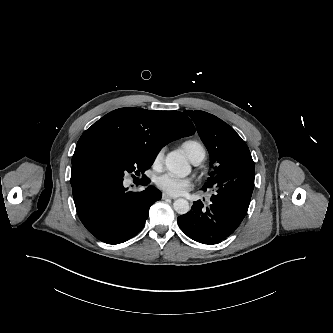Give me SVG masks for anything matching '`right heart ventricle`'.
Returning <instances> with one entry per match:
<instances>
[{
	"label": "right heart ventricle",
	"instance_id": "right-heart-ventricle-1",
	"mask_svg": "<svg viewBox=\"0 0 333 333\" xmlns=\"http://www.w3.org/2000/svg\"><path fill=\"white\" fill-rule=\"evenodd\" d=\"M181 147L192 162L205 157L204 146L196 140H186L181 144Z\"/></svg>",
	"mask_w": 333,
	"mask_h": 333
}]
</instances>
